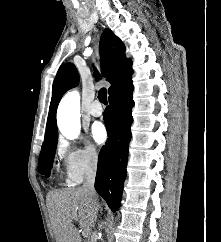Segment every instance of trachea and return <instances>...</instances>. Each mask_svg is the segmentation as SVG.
<instances>
[{
	"instance_id": "obj_1",
	"label": "trachea",
	"mask_w": 221,
	"mask_h": 242,
	"mask_svg": "<svg viewBox=\"0 0 221 242\" xmlns=\"http://www.w3.org/2000/svg\"><path fill=\"white\" fill-rule=\"evenodd\" d=\"M98 99L104 105L107 104V90L105 88H102V89L99 90Z\"/></svg>"
}]
</instances>
